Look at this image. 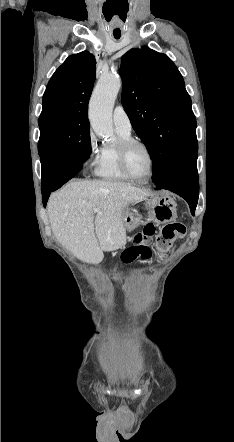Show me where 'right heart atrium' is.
Listing matches in <instances>:
<instances>
[{
	"instance_id": "d8ad5b80",
	"label": "right heart atrium",
	"mask_w": 234,
	"mask_h": 442,
	"mask_svg": "<svg viewBox=\"0 0 234 442\" xmlns=\"http://www.w3.org/2000/svg\"><path fill=\"white\" fill-rule=\"evenodd\" d=\"M88 148H89V165L91 167L96 166L101 149L98 146L97 138L91 131L88 136Z\"/></svg>"
}]
</instances>
